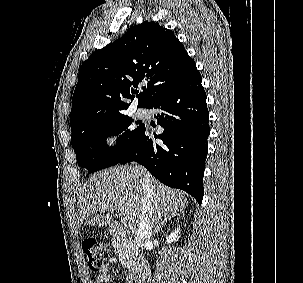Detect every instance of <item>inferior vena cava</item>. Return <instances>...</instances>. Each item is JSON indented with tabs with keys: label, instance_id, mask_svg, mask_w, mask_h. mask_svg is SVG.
I'll return each instance as SVG.
<instances>
[{
	"label": "inferior vena cava",
	"instance_id": "1",
	"mask_svg": "<svg viewBox=\"0 0 303 283\" xmlns=\"http://www.w3.org/2000/svg\"><path fill=\"white\" fill-rule=\"evenodd\" d=\"M136 168H140L136 166ZM143 186V198L144 203L143 207H146V203L152 195V188L150 185V180L147 176H145L142 180ZM153 224L150 222L149 217L146 214H142L140 216V223L138 229L136 231V245H141L150 240L152 236Z\"/></svg>",
	"mask_w": 303,
	"mask_h": 283
}]
</instances>
